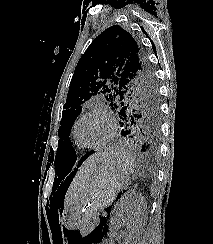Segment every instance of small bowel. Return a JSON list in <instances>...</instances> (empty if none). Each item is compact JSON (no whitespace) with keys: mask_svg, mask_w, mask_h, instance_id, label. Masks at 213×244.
Wrapping results in <instances>:
<instances>
[{"mask_svg":"<svg viewBox=\"0 0 213 244\" xmlns=\"http://www.w3.org/2000/svg\"><path fill=\"white\" fill-rule=\"evenodd\" d=\"M99 244H104V242L103 241H100Z\"/></svg>","mask_w":213,"mask_h":244,"instance_id":"c3829d8e","label":"small bowel"}]
</instances>
